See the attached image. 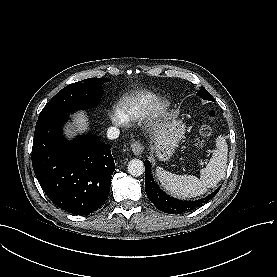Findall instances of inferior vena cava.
Masks as SVG:
<instances>
[{
  "label": "inferior vena cava",
  "instance_id": "obj_1",
  "mask_svg": "<svg viewBox=\"0 0 277 277\" xmlns=\"http://www.w3.org/2000/svg\"><path fill=\"white\" fill-rule=\"evenodd\" d=\"M119 134H120V131L117 127H109L107 130V137L110 140L118 138Z\"/></svg>",
  "mask_w": 277,
  "mask_h": 277
}]
</instances>
